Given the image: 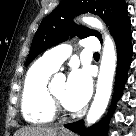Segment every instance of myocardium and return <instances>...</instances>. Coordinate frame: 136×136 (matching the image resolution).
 I'll use <instances>...</instances> for the list:
<instances>
[{
    "label": "myocardium",
    "instance_id": "myocardium-1",
    "mask_svg": "<svg viewBox=\"0 0 136 136\" xmlns=\"http://www.w3.org/2000/svg\"><path fill=\"white\" fill-rule=\"evenodd\" d=\"M47 92L53 111L57 113H65L66 109L63 103L55 96L50 86L47 87Z\"/></svg>",
    "mask_w": 136,
    "mask_h": 136
}]
</instances>
